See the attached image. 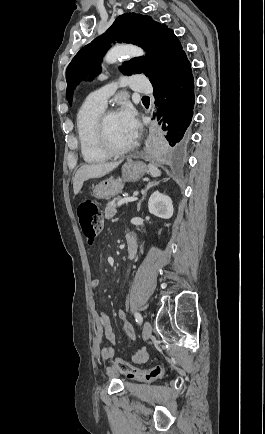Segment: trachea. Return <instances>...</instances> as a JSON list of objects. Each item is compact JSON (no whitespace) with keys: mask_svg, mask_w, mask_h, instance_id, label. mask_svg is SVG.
<instances>
[{"mask_svg":"<svg viewBox=\"0 0 265 434\" xmlns=\"http://www.w3.org/2000/svg\"><path fill=\"white\" fill-rule=\"evenodd\" d=\"M143 99H149V97H146V96H145V97H143Z\"/></svg>","mask_w":265,"mask_h":434,"instance_id":"1","label":"trachea"}]
</instances>
